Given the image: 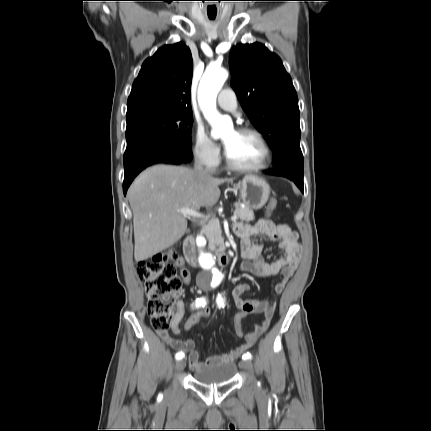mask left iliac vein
<instances>
[{
    "label": "left iliac vein",
    "mask_w": 431,
    "mask_h": 431,
    "mask_svg": "<svg viewBox=\"0 0 431 431\" xmlns=\"http://www.w3.org/2000/svg\"><path fill=\"white\" fill-rule=\"evenodd\" d=\"M241 367L249 373V375L251 376V378L255 384L256 381L254 378V370H253V365H252L251 361L249 359H245L244 361L241 362Z\"/></svg>",
    "instance_id": "4c4485c4"
}]
</instances>
